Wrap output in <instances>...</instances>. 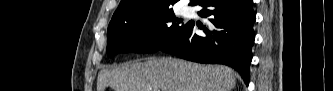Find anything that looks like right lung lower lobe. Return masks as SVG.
<instances>
[{
  "label": "right lung lower lobe",
  "mask_w": 333,
  "mask_h": 91,
  "mask_svg": "<svg viewBox=\"0 0 333 91\" xmlns=\"http://www.w3.org/2000/svg\"><path fill=\"white\" fill-rule=\"evenodd\" d=\"M198 5L203 7L199 14L210 17V25L199 26L189 21L160 50L194 62L229 65L248 85L255 39L253 0H202ZM197 26L205 35L195 34Z\"/></svg>",
  "instance_id": "obj_1"
}]
</instances>
